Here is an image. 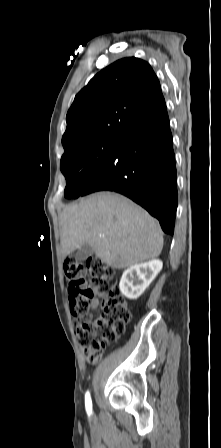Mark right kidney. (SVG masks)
<instances>
[{
	"mask_svg": "<svg viewBox=\"0 0 221 448\" xmlns=\"http://www.w3.org/2000/svg\"><path fill=\"white\" fill-rule=\"evenodd\" d=\"M163 267L158 259L133 265L126 269L119 283L120 292L128 299H137Z\"/></svg>",
	"mask_w": 221,
	"mask_h": 448,
	"instance_id": "ca27d5eb",
	"label": "right kidney"
}]
</instances>
